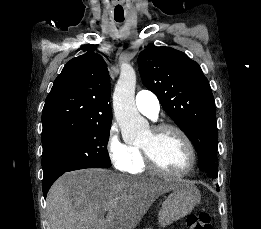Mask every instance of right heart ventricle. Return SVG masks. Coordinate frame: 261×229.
<instances>
[{"mask_svg": "<svg viewBox=\"0 0 261 229\" xmlns=\"http://www.w3.org/2000/svg\"><path fill=\"white\" fill-rule=\"evenodd\" d=\"M132 146H133L136 160H135V164L131 170V173H134V174L145 173L148 170V168H147L146 162L144 160L142 151L139 146H137V145H132Z\"/></svg>", "mask_w": 261, "mask_h": 229, "instance_id": "e07e8e85", "label": "right heart ventricle"}]
</instances>
